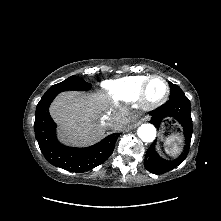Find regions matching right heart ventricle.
<instances>
[{
	"label": "right heart ventricle",
	"mask_w": 221,
	"mask_h": 221,
	"mask_svg": "<svg viewBox=\"0 0 221 221\" xmlns=\"http://www.w3.org/2000/svg\"><path fill=\"white\" fill-rule=\"evenodd\" d=\"M148 75L128 76L102 84L108 96L118 103H130L139 98L141 88Z\"/></svg>",
	"instance_id": "e07e8e85"
}]
</instances>
